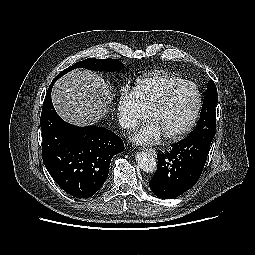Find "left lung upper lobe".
Wrapping results in <instances>:
<instances>
[{
	"label": "left lung upper lobe",
	"instance_id": "left-lung-upper-lobe-1",
	"mask_svg": "<svg viewBox=\"0 0 255 255\" xmlns=\"http://www.w3.org/2000/svg\"><path fill=\"white\" fill-rule=\"evenodd\" d=\"M218 95L217 89L212 80L208 82L207 90L203 100L201 109V116L193 132L202 129H216V112L215 107L217 104Z\"/></svg>",
	"mask_w": 255,
	"mask_h": 255
}]
</instances>
